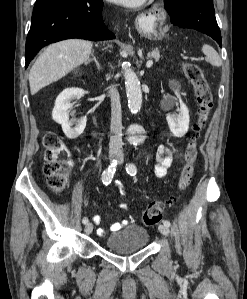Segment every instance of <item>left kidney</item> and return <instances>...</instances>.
<instances>
[{"label": "left kidney", "instance_id": "1", "mask_svg": "<svg viewBox=\"0 0 247 299\" xmlns=\"http://www.w3.org/2000/svg\"><path fill=\"white\" fill-rule=\"evenodd\" d=\"M178 98L180 99L179 96ZM189 121V110L185 105L181 108L178 115H172L167 117V123L170 131L175 137L178 138L183 137L188 132Z\"/></svg>", "mask_w": 247, "mask_h": 299}]
</instances>
